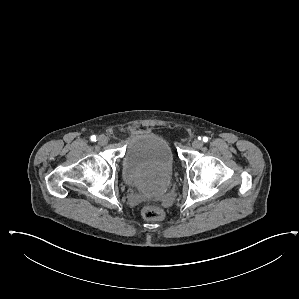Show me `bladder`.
Returning a JSON list of instances; mask_svg holds the SVG:
<instances>
[{"label":"bladder","mask_w":299,"mask_h":299,"mask_svg":"<svg viewBox=\"0 0 299 299\" xmlns=\"http://www.w3.org/2000/svg\"><path fill=\"white\" fill-rule=\"evenodd\" d=\"M174 167L175 156L166 138L142 131L126 147L121 174L125 181L143 183L147 190L158 193L166 189Z\"/></svg>","instance_id":"1"}]
</instances>
